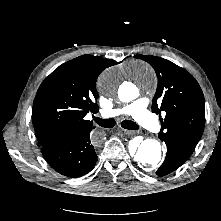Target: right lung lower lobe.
Returning <instances> with one entry per match:
<instances>
[{
	"instance_id": "right-lung-lower-lobe-1",
	"label": "right lung lower lobe",
	"mask_w": 221,
	"mask_h": 221,
	"mask_svg": "<svg viewBox=\"0 0 221 221\" xmlns=\"http://www.w3.org/2000/svg\"><path fill=\"white\" fill-rule=\"evenodd\" d=\"M91 130L72 134L42 146L41 152L58 173L68 177L85 175L97 162Z\"/></svg>"
}]
</instances>
